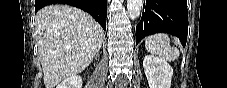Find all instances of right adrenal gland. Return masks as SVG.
<instances>
[{
    "label": "right adrenal gland",
    "mask_w": 227,
    "mask_h": 88,
    "mask_svg": "<svg viewBox=\"0 0 227 88\" xmlns=\"http://www.w3.org/2000/svg\"><path fill=\"white\" fill-rule=\"evenodd\" d=\"M95 59H99V52L96 54Z\"/></svg>",
    "instance_id": "2a0ac1e0"
}]
</instances>
